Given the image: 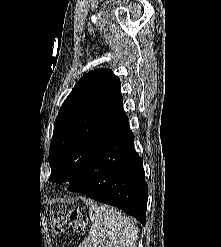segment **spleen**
Here are the masks:
<instances>
[{
  "instance_id": "spleen-1",
  "label": "spleen",
  "mask_w": 221,
  "mask_h": 247,
  "mask_svg": "<svg viewBox=\"0 0 221 247\" xmlns=\"http://www.w3.org/2000/svg\"><path fill=\"white\" fill-rule=\"evenodd\" d=\"M91 231L82 247H136L134 222L116 209L99 206L90 213Z\"/></svg>"
}]
</instances>
